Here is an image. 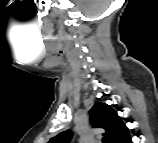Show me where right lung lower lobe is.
<instances>
[{
	"instance_id": "right-lung-lower-lobe-1",
	"label": "right lung lower lobe",
	"mask_w": 158,
	"mask_h": 143,
	"mask_svg": "<svg viewBox=\"0 0 158 143\" xmlns=\"http://www.w3.org/2000/svg\"><path fill=\"white\" fill-rule=\"evenodd\" d=\"M125 143H132L131 138H129L128 141H126Z\"/></svg>"
}]
</instances>
